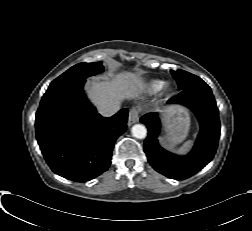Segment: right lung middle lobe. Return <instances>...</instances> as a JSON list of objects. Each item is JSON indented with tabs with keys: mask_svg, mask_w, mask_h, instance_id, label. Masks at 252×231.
Returning <instances> with one entry per match:
<instances>
[{
	"mask_svg": "<svg viewBox=\"0 0 252 231\" xmlns=\"http://www.w3.org/2000/svg\"><path fill=\"white\" fill-rule=\"evenodd\" d=\"M103 71L101 62L79 63L65 73L56 78L49 86L48 90L72 83L74 81L85 80L88 76L96 75Z\"/></svg>",
	"mask_w": 252,
	"mask_h": 231,
	"instance_id": "dd1d6c3e",
	"label": "right lung middle lobe"
}]
</instances>
